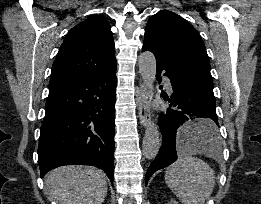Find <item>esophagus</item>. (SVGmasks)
Returning a JSON list of instances; mask_svg holds the SVG:
<instances>
[{
	"label": "esophagus",
	"instance_id": "obj_1",
	"mask_svg": "<svg viewBox=\"0 0 261 204\" xmlns=\"http://www.w3.org/2000/svg\"><path fill=\"white\" fill-rule=\"evenodd\" d=\"M150 100L151 98L147 86L141 83L139 89V95L137 98V104H138V114H139L140 123L143 127H146L150 121V114L148 109Z\"/></svg>",
	"mask_w": 261,
	"mask_h": 204
}]
</instances>
